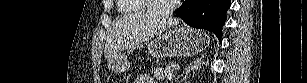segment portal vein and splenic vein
<instances>
[{
	"mask_svg": "<svg viewBox=\"0 0 307 83\" xmlns=\"http://www.w3.org/2000/svg\"><path fill=\"white\" fill-rule=\"evenodd\" d=\"M175 75L173 73H170L168 76H167V79L168 80H172L174 79Z\"/></svg>",
	"mask_w": 307,
	"mask_h": 83,
	"instance_id": "18ae733b",
	"label": "portal vein and splenic vein"
}]
</instances>
